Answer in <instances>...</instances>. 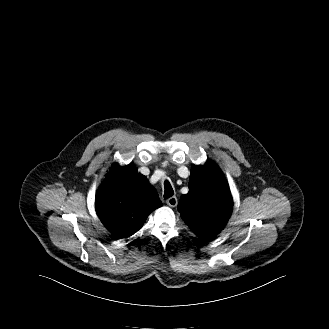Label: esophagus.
<instances>
[{"label": "esophagus", "instance_id": "34e87169", "mask_svg": "<svg viewBox=\"0 0 329 329\" xmlns=\"http://www.w3.org/2000/svg\"><path fill=\"white\" fill-rule=\"evenodd\" d=\"M166 203L170 206V207H176L178 204V200L175 196H172L170 198H168L166 200Z\"/></svg>", "mask_w": 329, "mask_h": 329}]
</instances>
